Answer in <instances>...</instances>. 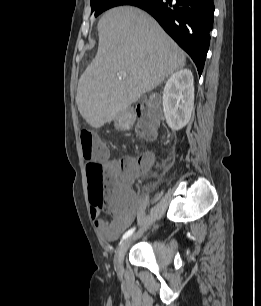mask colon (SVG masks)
Returning a JSON list of instances; mask_svg holds the SVG:
<instances>
[{
    "label": "colon",
    "instance_id": "1",
    "mask_svg": "<svg viewBox=\"0 0 261 306\" xmlns=\"http://www.w3.org/2000/svg\"><path fill=\"white\" fill-rule=\"evenodd\" d=\"M135 132L141 139H152L155 136L158 121V109L155 101L137 105L133 109ZM82 155L87 161V178L89 192L93 199H103L108 209L113 201L127 195L123 188H116L117 168L104 164L106 148L98 145L90 130H82L80 134Z\"/></svg>",
    "mask_w": 261,
    "mask_h": 306
}]
</instances>
